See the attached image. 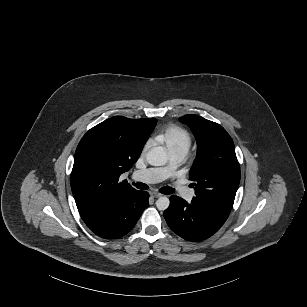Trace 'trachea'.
I'll return each mask as SVG.
<instances>
[{"label": "trachea", "instance_id": "1", "mask_svg": "<svg viewBox=\"0 0 307 307\" xmlns=\"http://www.w3.org/2000/svg\"><path fill=\"white\" fill-rule=\"evenodd\" d=\"M132 185L141 190H147L149 188L147 184L141 182H132ZM173 191L174 190L168 186L159 189V192H161L162 194H171Z\"/></svg>", "mask_w": 307, "mask_h": 307}]
</instances>
